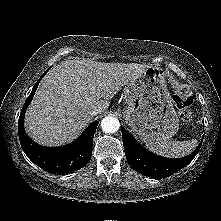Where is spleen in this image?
Wrapping results in <instances>:
<instances>
[{
  "label": "spleen",
  "mask_w": 221,
  "mask_h": 221,
  "mask_svg": "<svg viewBox=\"0 0 221 221\" xmlns=\"http://www.w3.org/2000/svg\"><path fill=\"white\" fill-rule=\"evenodd\" d=\"M196 139L187 141L146 142V146L158 155L179 158L190 154L197 146Z\"/></svg>",
  "instance_id": "spleen-1"
}]
</instances>
